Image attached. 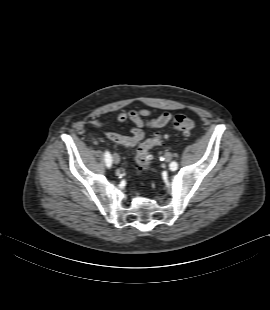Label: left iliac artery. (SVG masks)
Masks as SVG:
<instances>
[{"label":"left iliac artery","mask_w":270,"mask_h":310,"mask_svg":"<svg viewBox=\"0 0 270 310\" xmlns=\"http://www.w3.org/2000/svg\"><path fill=\"white\" fill-rule=\"evenodd\" d=\"M177 167H178V164L175 161L170 164V169L173 171L176 170Z\"/></svg>","instance_id":"44dca946"}]
</instances>
